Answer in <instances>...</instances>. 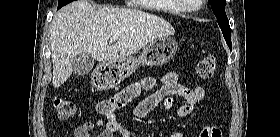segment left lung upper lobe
Masks as SVG:
<instances>
[{
	"label": "left lung upper lobe",
	"mask_w": 280,
	"mask_h": 137,
	"mask_svg": "<svg viewBox=\"0 0 280 137\" xmlns=\"http://www.w3.org/2000/svg\"><path fill=\"white\" fill-rule=\"evenodd\" d=\"M208 1L212 5V11L214 12L217 18L218 24L222 30L226 43L229 46L230 50H232L229 21L225 12L226 0H208Z\"/></svg>",
	"instance_id": "5c2ea615"
}]
</instances>
